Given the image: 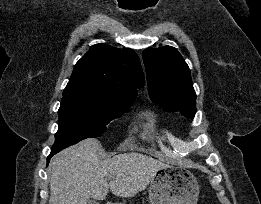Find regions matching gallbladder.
<instances>
[{
    "label": "gallbladder",
    "instance_id": "obj_1",
    "mask_svg": "<svg viewBox=\"0 0 261 204\" xmlns=\"http://www.w3.org/2000/svg\"><path fill=\"white\" fill-rule=\"evenodd\" d=\"M87 204H98L95 200H88Z\"/></svg>",
    "mask_w": 261,
    "mask_h": 204
}]
</instances>
